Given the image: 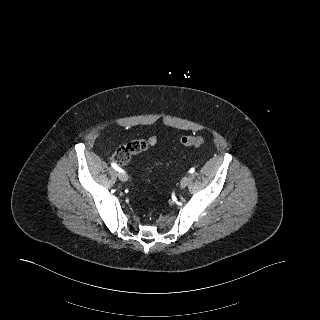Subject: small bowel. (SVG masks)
Wrapping results in <instances>:
<instances>
[{
    "instance_id": "obj_1",
    "label": "small bowel",
    "mask_w": 320,
    "mask_h": 320,
    "mask_svg": "<svg viewBox=\"0 0 320 320\" xmlns=\"http://www.w3.org/2000/svg\"><path fill=\"white\" fill-rule=\"evenodd\" d=\"M146 141L148 142V144L150 146H153L157 142V138H156V136L153 135V136L149 137Z\"/></svg>"
}]
</instances>
